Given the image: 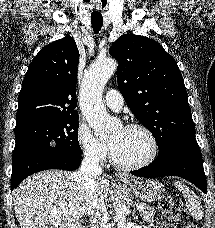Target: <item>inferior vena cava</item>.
Masks as SVG:
<instances>
[{"mask_svg":"<svg viewBox=\"0 0 215 228\" xmlns=\"http://www.w3.org/2000/svg\"><path fill=\"white\" fill-rule=\"evenodd\" d=\"M99 160L100 158L99 156H96L95 152H89V150L85 152L84 158L81 162L80 170L74 174L76 182L79 184L80 190H84V188L96 190V180H98L99 176H101L103 172L99 164ZM97 210L99 214H104V216H102V218L101 216H97V218H90V228H105L106 210L104 202L97 204Z\"/></svg>","mask_w":215,"mask_h":228,"instance_id":"602c4592","label":"inferior vena cava"}]
</instances>
